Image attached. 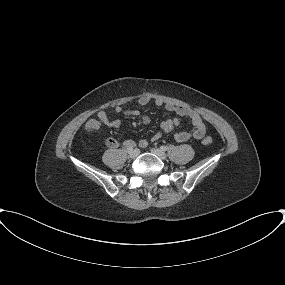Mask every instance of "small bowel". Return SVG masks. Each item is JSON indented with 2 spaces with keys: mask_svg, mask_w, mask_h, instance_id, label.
Masks as SVG:
<instances>
[{
  "mask_svg": "<svg viewBox=\"0 0 285 285\" xmlns=\"http://www.w3.org/2000/svg\"><path fill=\"white\" fill-rule=\"evenodd\" d=\"M151 101L152 99L150 97L142 96L138 99L137 102L140 106H145L149 104ZM153 102L155 105L163 106L165 110L169 112H174L176 114V117L169 118L161 122V129L163 130V132L165 133L171 132L175 127H177L180 124L181 118L183 117H187L191 121V124L193 126L192 131L190 132L180 131L174 135V138L177 142L183 143L188 141L190 138L201 140L206 135V126L201 116L196 111L182 106H175L172 103H165L161 99H154ZM115 112L125 116L141 115L140 111L126 109L121 105L115 107ZM142 120L145 124H148L150 122V118L147 115H142ZM101 126L119 128L121 126V121L118 119L111 120L109 119L106 112L100 111L96 118H92L86 123L85 130L88 133H93L97 131ZM161 136H162L161 132H155L152 135L151 140L158 141L161 138ZM106 144L111 148H117L120 146V142L114 137H109L106 140ZM123 144L125 146H135V142L132 140H126ZM148 144L149 142L146 139H141L138 142V145L141 148H146Z\"/></svg>",
  "mask_w": 285,
  "mask_h": 285,
  "instance_id": "small-bowel-1",
  "label": "small bowel"
}]
</instances>
